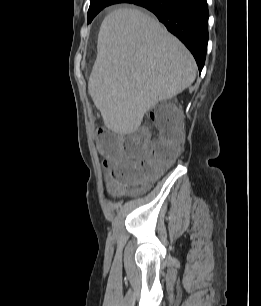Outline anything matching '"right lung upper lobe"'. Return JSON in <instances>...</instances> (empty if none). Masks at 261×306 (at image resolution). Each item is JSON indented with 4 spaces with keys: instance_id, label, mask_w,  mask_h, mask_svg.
Listing matches in <instances>:
<instances>
[{
    "instance_id": "1",
    "label": "right lung upper lobe",
    "mask_w": 261,
    "mask_h": 306,
    "mask_svg": "<svg viewBox=\"0 0 261 306\" xmlns=\"http://www.w3.org/2000/svg\"><path fill=\"white\" fill-rule=\"evenodd\" d=\"M101 1H108V0H91L90 3H92V2H101ZM117 1H124L123 3H126L128 0H117Z\"/></svg>"
}]
</instances>
